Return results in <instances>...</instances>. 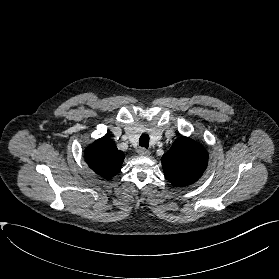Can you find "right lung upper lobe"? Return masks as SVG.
Instances as JSON below:
<instances>
[{
    "label": "right lung upper lobe",
    "instance_id": "1",
    "mask_svg": "<svg viewBox=\"0 0 279 279\" xmlns=\"http://www.w3.org/2000/svg\"><path fill=\"white\" fill-rule=\"evenodd\" d=\"M85 159L91 169L105 179L115 176L121 169L124 154L108 137L96 140L87 147Z\"/></svg>",
    "mask_w": 279,
    "mask_h": 279
}]
</instances>
